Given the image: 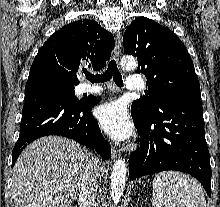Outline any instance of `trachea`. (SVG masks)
<instances>
[{
  "label": "trachea",
  "instance_id": "3493384b",
  "mask_svg": "<svg viewBox=\"0 0 220 207\" xmlns=\"http://www.w3.org/2000/svg\"><path fill=\"white\" fill-rule=\"evenodd\" d=\"M86 78L92 83L106 82L113 78L117 86L123 87L122 75L117 68V64L114 59L109 62L108 68L103 74L94 75L91 73H86Z\"/></svg>",
  "mask_w": 220,
  "mask_h": 207
}]
</instances>
